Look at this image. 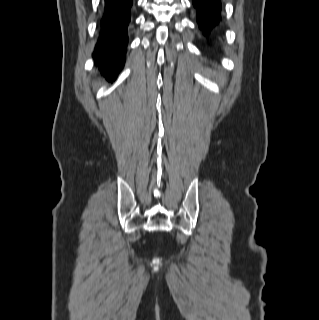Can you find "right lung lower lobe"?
Here are the masks:
<instances>
[{"label": "right lung lower lobe", "instance_id": "1", "mask_svg": "<svg viewBox=\"0 0 319 320\" xmlns=\"http://www.w3.org/2000/svg\"><path fill=\"white\" fill-rule=\"evenodd\" d=\"M131 6L132 0H105L100 36L93 56L99 70L113 80L125 62Z\"/></svg>", "mask_w": 319, "mask_h": 320}]
</instances>
